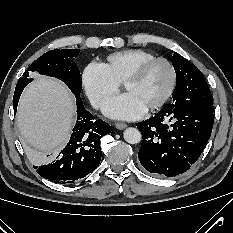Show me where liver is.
<instances>
[{"instance_id": "liver-1", "label": "liver", "mask_w": 233, "mask_h": 233, "mask_svg": "<svg viewBox=\"0 0 233 233\" xmlns=\"http://www.w3.org/2000/svg\"><path fill=\"white\" fill-rule=\"evenodd\" d=\"M74 115V99L60 81L40 77L27 86L18 105L17 123L25 141L37 151L32 155L36 164L67 143Z\"/></svg>"}]
</instances>
